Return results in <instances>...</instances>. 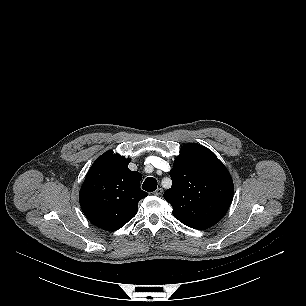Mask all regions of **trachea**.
Returning a JSON list of instances; mask_svg holds the SVG:
<instances>
[{
    "label": "trachea",
    "mask_w": 306,
    "mask_h": 306,
    "mask_svg": "<svg viewBox=\"0 0 306 306\" xmlns=\"http://www.w3.org/2000/svg\"><path fill=\"white\" fill-rule=\"evenodd\" d=\"M142 188L145 190V191H148V192H153L156 190L157 188V180L155 178H147L143 185H142Z\"/></svg>",
    "instance_id": "obj_1"
}]
</instances>
